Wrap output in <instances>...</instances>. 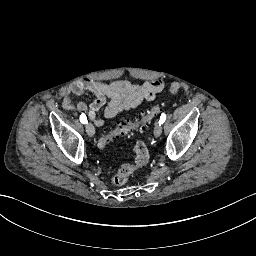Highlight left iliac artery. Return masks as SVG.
Segmentation results:
<instances>
[{
	"label": "left iliac artery",
	"mask_w": 256,
	"mask_h": 256,
	"mask_svg": "<svg viewBox=\"0 0 256 256\" xmlns=\"http://www.w3.org/2000/svg\"><path fill=\"white\" fill-rule=\"evenodd\" d=\"M165 120H166V115H165V113H162L161 116H160L159 123L163 124L165 122Z\"/></svg>",
	"instance_id": "1"
}]
</instances>
